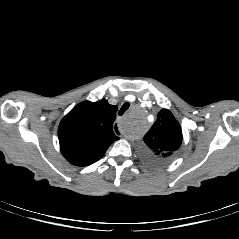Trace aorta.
<instances>
[{"mask_svg": "<svg viewBox=\"0 0 239 239\" xmlns=\"http://www.w3.org/2000/svg\"><path fill=\"white\" fill-rule=\"evenodd\" d=\"M143 122V117L136 114H131L124 124V131L128 136L134 135L140 128Z\"/></svg>", "mask_w": 239, "mask_h": 239, "instance_id": "1", "label": "aorta"}]
</instances>
